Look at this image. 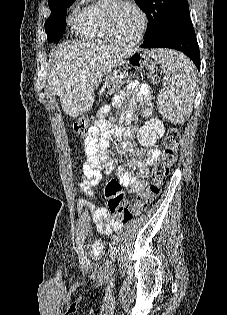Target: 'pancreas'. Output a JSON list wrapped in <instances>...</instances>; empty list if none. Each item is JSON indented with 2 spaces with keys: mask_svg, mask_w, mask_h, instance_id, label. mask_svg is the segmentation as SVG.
Returning <instances> with one entry per match:
<instances>
[{
  "mask_svg": "<svg viewBox=\"0 0 227 315\" xmlns=\"http://www.w3.org/2000/svg\"><path fill=\"white\" fill-rule=\"evenodd\" d=\"M132 75H129L126 72L121 73L120 75H112L109 77V82L107 83V87L110 89L109 94L115 92V90H119L121 85L124 84V80H129Z\"/></svg>",
  "mask_w": 227,
  "mask_h": 315,
  "instance_id": "obj_1",
  "label": "pancreas"
}]
</instances>
